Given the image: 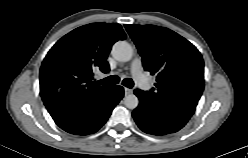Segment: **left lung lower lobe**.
Instances as JSON below:
<instances>
[{
  "label": "left lung lower lobe",
  "instance_id": "left-lung-lower-lobe-1",
  "mask_svg": "<svg viewBox=\"0 0 248 158\" xmlns=\"http://www.w3.org/2000/svg\"><path fill=\"white\" fill-rule=\"evenodd\" d=\"M140 103L132 116L138 127L152 135H166L177 132L188 122L187 119L171 114L155 105L141 90L136 89Z\"/></svg>",
  "mask_w": 248,
  "mask_h": 158
}]
</instances>
